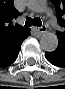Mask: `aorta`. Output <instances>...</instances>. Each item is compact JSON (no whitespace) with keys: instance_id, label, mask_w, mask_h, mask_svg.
I'll list each match as a JSON object with an SVG mask.
<instances>
[{"instance_id":"obj_1","label":"aorta","mask_w":65,"mask_h":89,"mask_svg":"<svg viewBox=\"0 0 65 89\" xmlns=\"http://www.w3.org/2000/svg\"><path fill=\"white\" fill-rule=\"evenodd\" d=\"M29 8L37 13H43L47 10V2L45 0H34L29 3ZM41 48L47 52H53L57 49L58 38L54 32H45L40 38Z\"/></svg>"}]
</instances>
